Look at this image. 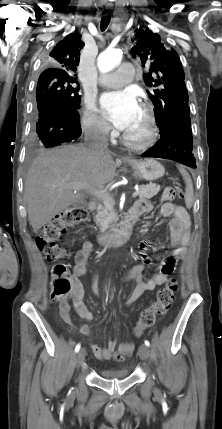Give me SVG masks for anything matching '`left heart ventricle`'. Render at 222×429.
<instances>
[{
	"mask_svg": "<svg viewBox=\"0 0 222 429\" xmlns=\"http://www.w3.org/2000/svg\"><path fill=\"white\" fill-rule=\"evenodd\" d=\"M146 126V120L144 112L141 108H139L137 117L132 125L126 130L132 136H139L143 133Z\"/></svg>",
	"mask_w": 222,
	"mask_h": 429,
	"instance_id": "left-heart-ventricle-1",
	"label": "left heart ventricle"
}]
</instances>
